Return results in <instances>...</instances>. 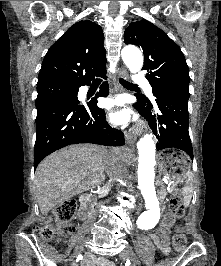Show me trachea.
I'll return each instance as SVG.
<instances>
[{
  "label": "trachea",
  "mask_w": 221,
  "mask_h": 266,
  "mask_svg": "<svg viewBox=\"0 0 221 266\" xmlns=\"http://www.w3.org/2000/svg\"><path fill=\"white\" fill-rule=\"evenodd\" d=\"M102 82L101 79L96 78L93 80V84H100ZM120 83L125 86V87H130V86H137L136 84H133L131 82L125 81L124 79H120Z\"/></svg>",
  "instance_id": "trachea-1"
}]
</instances>
